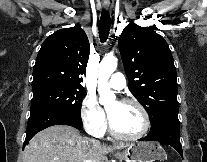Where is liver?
<instances>
[{"instance_id": "1", "label": "liver", "mask_w": 207, "mask_h": 162, "mask_svg": "<svg viewBox=\"0 0 207 162\" xmlns=\"http://www.w3.org/2000/svg\"><path fill=\"white\" fill-rule=\"evenodd\" d=\"M129 145L108 146L95 139L82 137L68 125L50 126L37 133L25 147L23 162H103L106 154Z\"/></svg>"}]
</instances>
